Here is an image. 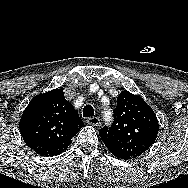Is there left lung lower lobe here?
Segmentation results:
<instances>
[{
    "label": "left lung lower lobe",
    "instance_id": "0a47b994",
    "mask_svg": "<svg viewBox=\"0 0 188 188\" xmlns=\"http://www.w3.org/2000/svg\"><path fill=\"white\" fill-rule=\"evenodd\" d=\"M104 144L106 145V147L108 148V150L116 157L127 160V159H131L127 154L121 152L120 150H118L116 147H113L111 144L104 142Z\"/></svg>",
    "mask_w": 188,
    "mask_h": 188
}]
</instances>
